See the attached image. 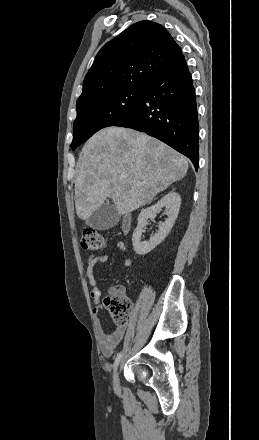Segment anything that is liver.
Wrapping results in <instances>:
<instances>
[{
    "instance_id": "1",
    "label": "liver",
    "mask_w": 259,
    "mask_h": 440,
    "mask_svg": "<svg viewBox=\"0 0 259 440\" xmlns=\"http://www.w3.org/2000/svg\"><path fill=\"white\" fill-rule=\"evenodd\" d=\"M187 170L186 157L158 139L129 128H104L86 142L76 166V213L86 220L108 198L118 213H130Z\"/></svg>"
}]
</instances>
